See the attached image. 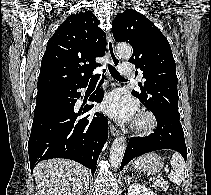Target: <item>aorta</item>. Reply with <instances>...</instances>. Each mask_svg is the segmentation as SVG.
I'll return each mask as SVG.
<instances>
[{
	"label": "aorta",
	"mask_w": 211,
	"mask_h": 195,
	"mask_svg": "<svg viewBox=\"0 0 211 195\" xmlns=\"http://www.w3.org/2000/svg\"><path fill=\"white\" fill-rule=\"evenodd\" d=\"M117 55L121 58L129 59L132 55V48L127 44H119L117 46ZM126 145V138L124 136L117 137L112 143L109 158L114 169L119 167L125 153Z\"/></svg>",
	"instance_id": "obj_1"
}]
</instances>
